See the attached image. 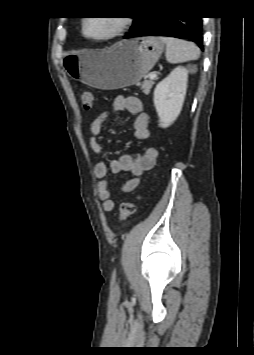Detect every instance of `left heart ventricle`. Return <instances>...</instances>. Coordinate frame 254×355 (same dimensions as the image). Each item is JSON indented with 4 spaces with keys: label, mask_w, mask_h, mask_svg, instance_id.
<instances>
[{
    "label": "left heart ventricle",
    "mask_w": 254,
    "mask_h": 355,
    "mask_svg": "<svg viewBox=\"0 0 254 355\" xmlns=\"http://www.w3.org/2000/svg\"><path fill=\"white\" fill-rule=\"evenodd\" d=\"M116 28L117 20L114 17H93L86 23V33L96 38L111 34Z\"/></svg>",
    "instance_id": "left-heart-ventricle-1"
}]
</instances>
